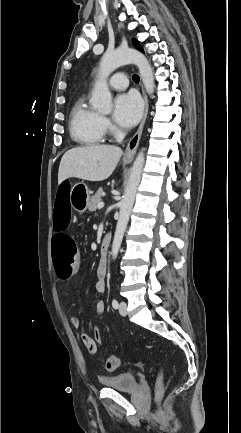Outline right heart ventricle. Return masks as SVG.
<instances>
[{
	"mask_svg": "<svg viewBox=\"0 0 241 433\" xmlns=\"http://www.w3.org/2000/svg\"><path fill=\"white\" fill-rule=\"evenodd\" d=\"M70 134L80 144L95 145L105 141L106 128L100 113L89 105L85 96L79 97L70 113Z\"/></svg>",
	"mask_w": 241,
	"mask_h": 433,
	"instance_id": "e07e8e85",
	"label": "right heart ventricle"
}]
</instances>
